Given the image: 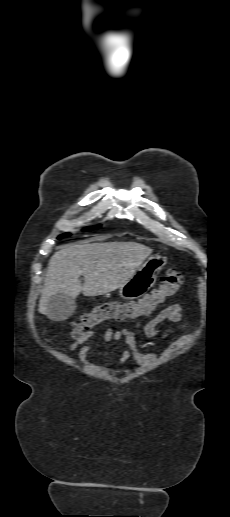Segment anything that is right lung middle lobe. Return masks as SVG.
Returning a JSON list of instances; mask_svg holds the SVG:
<instances>
[{
	"mask_svg": "<svg viewBox=\"0 0 230 517\" xmlns=\"http://www.w3.org/2000/svg\"><path fill=\"white\" fill-rule=\"evenodd\" d=\"M90 228H92V229H96V228H98V227H90ZM68 235H69V234H63V235H61L59 238L67 237Z\"/></svg>",
	"mask_w": 230,
	"mask_h": 517,
	"instance_id": "dd1d6c3e",
	"label": "right lung middle lobe"
}]
</instances>
